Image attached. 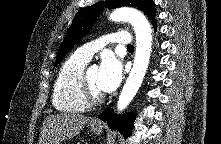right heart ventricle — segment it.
Here are the masks:
<instances>
[{"mask_svg": "<svg viewBox=\"0 0 221 144\" xmlns=\"http://www.w3.org/2000/svg\"><path fill=\"white\" fill-rule=\"evenodd\" d=\"M87 62L74 53L62 63L54 82L52 94L53 105L58 111L77 113L83 112L89 107L80 91V75Z\"/></svg>", "mask_w": 221, "mask_h": 144, "instance_id": "1", "label": "right heart ventricle"}]
</instances>
